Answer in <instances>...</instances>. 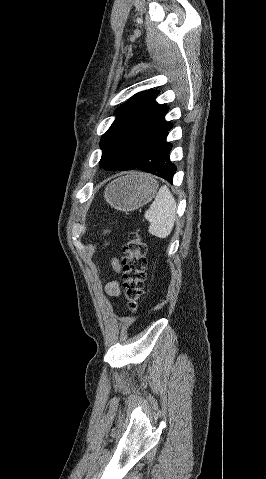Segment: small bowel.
I'll use <instances>...</instances> for the list:
<instances>
[{
	"label": "small bowel",
	"instance_id": "c3829d8e",
	"mask_svg": "<svg viewBox=\"0 0 266 479\" xmlns=\"http://www.w3.org/2000/svg\"><path fill=\"white\" fill-rule=\"evenodd\" d=\"M112 266L115 270H120V263L117 259L112 260ZM106 292L113 297H117L120 294V287L117 281H109L106 284Z\"/></svg>",
	"mask_w": 266,
	"mask_h": 479
}]
</instances>
